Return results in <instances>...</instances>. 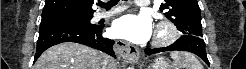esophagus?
I'll list each match as a JSON object with an SVG mask.
<instances>
[{"instance_id": "esophagus-1", "label": "esophagus", "mask_w": 246, "mask_h": 69, "mask_svg": "<svg viewBox=\"0 0 246 69\" xmlns=\"http://www.w3.org/2000/svg\"><path fill=\"white\" fill-rule=\"evenodd\" d=\"M113 49L120 57L132 62L138 61L140 57V51L136 46L123 41H116Z\"/></svg>"}]
</instances>
